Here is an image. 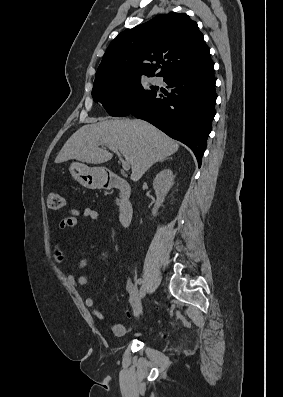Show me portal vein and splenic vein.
Here are the masks:
<instances>
[{"instance_id": "obj_1", "label": "portal vein and splenic vein", "mask_w": 283, "mask_h": 397, "mask_svg": "<svg viewBox=\"0 0 283 397\" xmlns=\"http://www.w3.org/2000/svg\"><path fill=\"white\" fill-rule=\"evenodd\" d=\"M108 148L118 155L119 161L122 164L123 170H126V171L129 170L130 169V164L126 160H124L122 158L121 154L119 153V150L117 148L113 147V146H108Z\"/></svg>"}]
</instances>
